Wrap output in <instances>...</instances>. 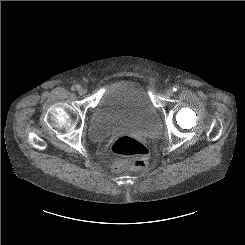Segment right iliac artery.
Segmentation results:
<instances>
[{
  "instance_id": "obj_1",
  "label": "right iliac artery",
  "mask_w": 245,
  "mask_h": 245,
  "mask_svg": "<svg viewBox=\"0 0 245 245\" xmlns=\"http://www.w3.org/2000/svg\"><path fill=\"white\" fill-rule=\"evenodd\" d=\"M79 88H80V86L77 85V86H73V87L71 88V90L75 91L76 89H79Z\"/></svg>"
}]
</instances>
